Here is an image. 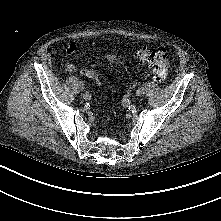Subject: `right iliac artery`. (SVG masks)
I'll return each mask as SVG.
<instances>
[{
	"label": "right iliac artery",
	"instance_id": "obj_1",
	"mask_svg": "<svg viewBox=\"0 0 221 221\" xmlns=\"http://www.w3.org/2000/svg\"><path fill=\"white\" fill-rule=\"evenodd\" d=\"M83 97H84L85 100H90L91 99V93L89 91H86L83 94Z\"/></svg>",
	"mask_w": 221,
	"mask_h": 221
}]
</instances>
